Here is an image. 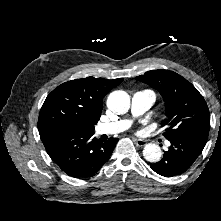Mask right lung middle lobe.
<instances>
[{
    "instance_id": "right-lung-middle-lobe-1",
    "label": "right lung middle lobe",
    "mask_w": 221,
    "mask_h": 221,
    "mask_svg": "<svg viewBox=\"0 0 221 221\" xmlns=\"http://www.w3.org/2000/svg\"><path fill=\"white\" fill-rule=\"evenodd\" d=\"M67 130L69 131H74V132H85V133H93L94 128H84V127H66Z\"/></svg>"
}]
</instances>
